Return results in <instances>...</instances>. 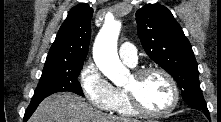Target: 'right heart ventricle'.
Segmentation results:
<instances>
[{
	"label": "right heart ventricle",
	"instance_id": "right-heart-ventricle-1",
	"mask_svg": "<svg viewBox=\"0 0 221 122\" xmlns=\"http://www.w3.org/2000/svg\"><path fill=\"white\" fill-rule=\"evenodd\" d=\"M109 110L126 117H133L138 114L130 104L125 89L122 88H114V99Z\"/></svg>",
	"mask_w": 221,
	"mask_h": 122
}]
</instances>
